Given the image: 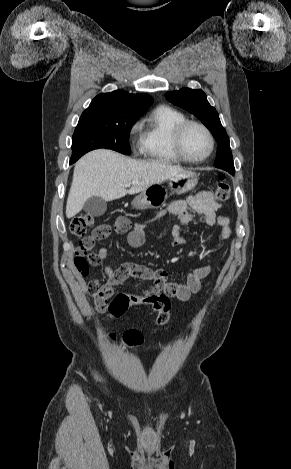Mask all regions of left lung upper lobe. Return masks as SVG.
<instances>
[{"label": "left lung upper lobe", "instance_id": "obj_1", "mask_svg": "<svg viewBox=\"0 0 291 469\" xmlns=\"http://www.w3.org/2000/svg\"><path fill=\"white\" fill-rule=\"evenodd\" d=\"M165 97L171 103L194 114L211 131L218 143L214 166L234 175L235 168L229 137L220 122L216 109L207 101L206 94L201 89L183 88L179 91L167 92Z\"/></svg>", "mask_w": 291, "mask_h": 469}]
</instances>
